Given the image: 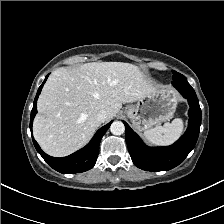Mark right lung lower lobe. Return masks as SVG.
Returning a JSON list of instances; mask_svg holds the SVG:
<instances>
[{"mask_svg":"<svg viewBox=\"0 0 224 224\" xmlns=\"http://www.w3.org/2000/svg\"><path fill=\"white\" fill-rule=\"evenodd\" d=\"M48 75L46 76L44 82L42 85L39 87L37 95L34 100V105L33 109L31 111V118H30V130L32 132V123L33 119L37 113V99L38 96L42 90V87L47 79ZM111 122L108 123L107 125L103 126L100 128L97 133L94 135L92 140L89 142L88 145H86L84 148L81 150L63 158H54L51 157L47 154H45L41 148L39 147L38 143L35 141V139L32 137L34 146L38 153L43 157V159L55 170L66 174V173H80L87 171L91 169L97 160L98 157V152H99V144L100 141L107 131V129L110 127Z\"/></svg>","mask_w":224,"mask_h":224,"instance_id":"1","label":"right lung lower lobe"}]
</instances>
